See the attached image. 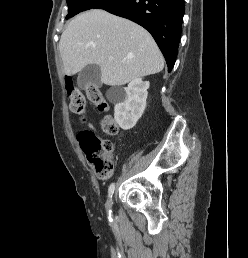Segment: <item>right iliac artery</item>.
<instances>
[{
	"label": "right iliac artery",
	"instance_id": "obj_1",
	"mask_svg": "<svg viewBox=\"0 0 248 258\" xmlns=\"http://www.w3.org/2000/svg\"><path fill=\"white\" fill-rule=\"evenodd\" d=\"M114 189H115V184L112 183L110 186H109V189H108V193H109V197H112V194L114 193ZM111 216V210H109V217Z\"/></svg>",
	"mask_w": 248,
	"mask_h": 258
}]
</instances>
